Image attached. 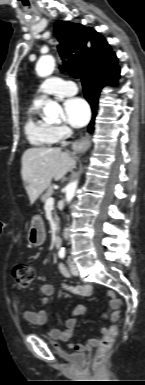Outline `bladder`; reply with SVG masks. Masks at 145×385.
<instances>
[{
	"instance_id": "obj_1",
	"label": "bladder",
	"mask_w": 145,
	"mask_h": 385,
	"mask_svg": "<svg viewBox=\"0 0 145 385\" xmlns=\"http://www.w3.org/2000/svg\"><path fill=\"white\" fill-rule=\"evenodd\" d=\"M70 357H74L76 362H84L86 359L84 354L71 355Z\"/></svg>"
}]
</instances>
